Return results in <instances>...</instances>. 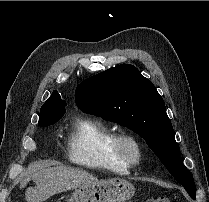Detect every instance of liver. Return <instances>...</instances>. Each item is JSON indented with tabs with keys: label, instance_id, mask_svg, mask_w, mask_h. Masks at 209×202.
Returning a JSON list of instances; mask_svg holds the SVG:
<instances>
[{
	"label": "liver",
	"instance_id": "liver-1",
	"mask_svg": "<svg viewBox=\"0 0 209 202\" xmlns=\"http://www.w3.org/2000/svg\"><path fill=\"white\" fill-rule=\"evenodd\" d=\"M30 180H33L36 186L27 188V202H43L55 194L99 181L94 175L80 169L65 166L44 168L38 162L31 164L22 175L20 188L26 187Z\"/></svg>",
	"mask_w": 209,
	"mask_h": 202
}]
</instances>
